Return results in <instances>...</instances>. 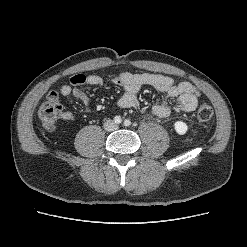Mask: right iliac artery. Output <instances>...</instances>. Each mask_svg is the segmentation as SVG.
<instances>
[{"label":"right iliac artery","instance_id":"right-iliac-artery-1","mask_svg":"<svg viewBox=\"0 0 247 247\" xmlns=\"http://www.w3.org/2000/svg\"><path fill=\"white\" fill-rule=\"evenodd\" d=\"M114 122H115L116 124H120V123L122 122L121 117H120V116H115V117H114Z\"/></svg>","mask_w":247,"mask_h":247}]
</instances>
